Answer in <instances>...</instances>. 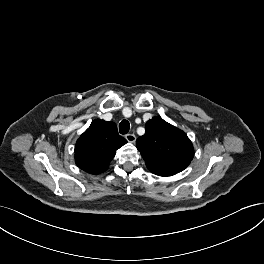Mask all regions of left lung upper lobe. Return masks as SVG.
I'll return each instance as SVG.
<instances>
[{
    "label": "left lung upper lobe",
    "mask_w": 264,
    "mask_h": 264,
    "mask_svg": "<svg viewBox=\"0 0 264 264\" xmlns=\"http://www.w3.org/2000/svg\"><path fill=\"white\" fill-rule=\"evenodd\" d=\"M148 169L181 172L191 162L194 149L187 135L156 116L147 121L145 134L136 141Z\"/></svg>",
    "instance_id": "obj_1"
}]
</instances>
